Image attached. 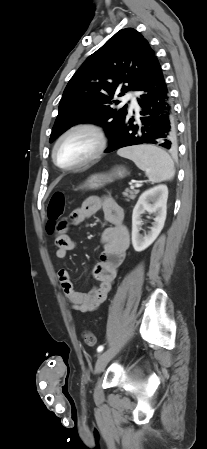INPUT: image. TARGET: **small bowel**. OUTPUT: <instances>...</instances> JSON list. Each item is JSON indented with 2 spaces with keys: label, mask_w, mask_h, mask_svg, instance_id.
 <instances>
[{
  "label": "small bowel",
  "mask_w": 207,
  "mask_h": 449,
  "mask_svg": "<svg viewBox=\"0 0 207 449\" xmlns=\"http://www.w3.org/2000/svg\"><path fill=\"white\" fill-rule=\"evenodd\" d=\"M98 212H102L110 224L101 236L100 261L92 267V274L99 281L98 286L88 293L80 292L74 288L66 269L58 271L61 289L71 308L79 313L92 312L99 308L113 287L130 241L129 232L125 226L124 209L112 198L101 200L90 197L59 224L55 237L56 257L64 259L67 253L75 247L74 240L69 234L71 228Z\"/></svg>",
  "instance_id": "1"
}]
</instances>
